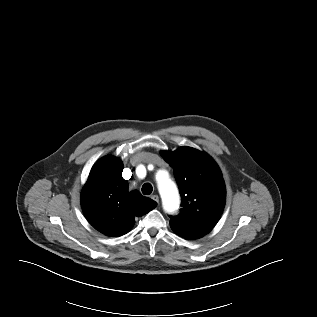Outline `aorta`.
Segmentation results:
<instances>
[{"mask_svg": "<svg viewBox=\"0 0 317 317\" xmlns=\"http://www.w3.org/2000/svg\"><path fill=\"white\" fill-rule=\"evenodd\" d=\"M156 180L164 209L169 213L176 211L180 205V197L176 184L171 180L168 170H158Z\"/></svg>", "mask_w": 317, "mask_h": 317, "instance_id": "aorta-1", "label": "aorta"}]
</instances>
